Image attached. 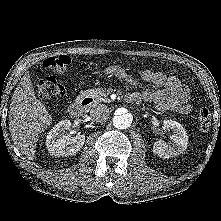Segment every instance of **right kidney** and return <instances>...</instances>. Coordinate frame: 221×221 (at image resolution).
Instances as JSON below:
<instances>
[{
    "mask_svg": "<svg viewBox=\"0 0 221 221\" xmlns=\"http://www.w3.org/2000/svg\"><path fill=\"white\" fill-rule=\"evenodd\" d=\"M71 130L70 120L59 121L48 133L46 146L51 155L69 156L76 154L84 145L85 135L72 137L65 133Z\"/></svg>",
    "mask_w": 221,
    "mask_h": 221,
    "instance_id": "obj_1",
    "label": "right kidney"
}]
</instances>
